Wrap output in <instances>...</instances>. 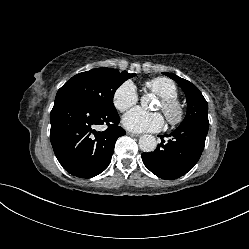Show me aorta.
<instances>
[{
	"mask_svg": "<svg viewBox=\"0 0 249 249\" xmlns=\"http://www.w3.org/2000/svg\"><path fill=\"white\" fill-rule=\"evenodd\" d=\"M152 96L150 94L141 97V105L147 107L151 102ZM157 146L156 138L153 135L145 134L139 138V147L143 152H152Z\"/></svg>",
	"mask_w": 249,
	"mask_h": 249,
	"instance_id": "obj_1",
	"label": "aorta"
}]
</instances>
